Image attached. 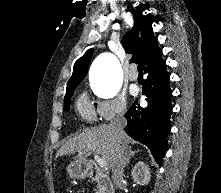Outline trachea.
I'll return each instance as SVG.
<instances>
[{"instance_id":"1","label":"trachea","mask_w":221,"mask_h":193,"mask_svg":"<svg viewBox=\"0 0 221 193\" xmlns=\"http://www.w3.org/2000/svg\"><path fill=\"white\" fill-rule=\"evenodd\" d=\"M137 69L139 73H142V66L140 64L137 66Z\"/></svg>"}]
</instances>
